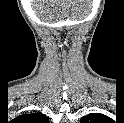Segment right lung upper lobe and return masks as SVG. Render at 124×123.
Here are the masks:
<instances>
[{
  "label": "right lung upper lobe",
  "mask_w": 124,
  "mask_h": 123,
  "mask_svg": "<svg viewBox=\"0 0 124 123\" xmlns=\"http://www.w3.org/2000/svg\"><path fill=\"white\" fill-rule=\"evenodd\" d=\"M18 120L24 123H48L49 120L41 113H28L17 117Z\"/></svg>",
  "instance_id": "cb5924a9"
}]
</instances>
